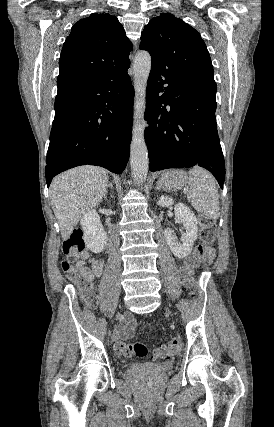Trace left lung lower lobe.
<instances>
[{"label": "left lung lower lobe", "instance_id": "obj_1", "mask_svg": "<svg viewBox=\"0 0 274 427\" xmlns=\"http://www.w3.org/2000/svg\"><path fill=\"white\" fill-rule=\"evenodd\" d=\"M215 96L216 88L152 63L145 112L150 171L198 165L209 170L223 188L225 162L217 133Z\"/></svg>", "mask_w": 274, "mask_h": 427}]
</instances>
